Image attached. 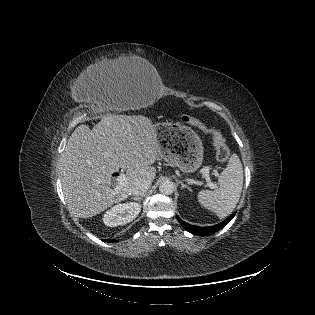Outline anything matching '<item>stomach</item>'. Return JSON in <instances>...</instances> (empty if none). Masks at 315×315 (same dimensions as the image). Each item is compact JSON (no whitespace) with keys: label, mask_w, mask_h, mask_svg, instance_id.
<instances>
[{"label":"stomach","mask_w":315,"mask_h":315,"mask_svg":"<svg viewBox=\"0 0 315 315\" xmlns=\"http://www.w3.org/2000/svg\"><path fill=\"white\" fill-rule=\"evenodd\" d=\"M159 142V155L184 173L195 172L203 162L204 148L197 133L175 122L153 124Z\"/></svg>","instance_id":"stomach-1"}]
</instances>
